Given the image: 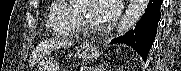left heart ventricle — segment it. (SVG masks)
I'll use <instances>...</instances> for the list:
<instances>
[{
    "label": "left heart ventricle",
    "mask_w": 181,
    "mask_h": 71,
    "mask_svg": "<svg viewBox=\"0 0 181 71\" xmlns=\"http://www.w3.org/2000/svg\"><path fill=\"white\" fill-rule=\"evenodd\" d=\"M101 6L102 2L97 0L82 3V7H84V15L88 22L96 25L101 24L99 20Z\"/></svg>",
    "instance_id": "1"
}]
</instances>
